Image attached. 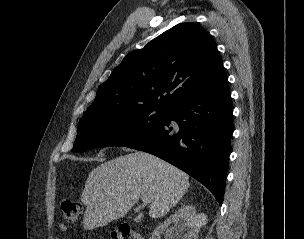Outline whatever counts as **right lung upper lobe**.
<instances>
[{
    "mask_svg": "<svg viewBox=\"0 0 304 239\" xmlns=\"http://www.w3.org/2000/svg\"><path fill=\"white\" fill-rule=\"evenodd\" d=\"M222 74V59L207 31L193 22L181 23L126 56L99 86L82 118L122 107L167 108Z\"/></svg>",
    "mask_w": 304,
    "mask_h": 239,
    "instance_id": "cb5924a9",
    "label": "right lung upper lobe"
}]
</instances>
